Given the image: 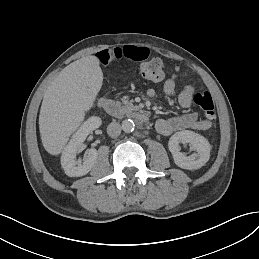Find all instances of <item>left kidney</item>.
I'll return each mask as SVG.
<instances>
[{"mask_svg": "<svg viewBox=\"0 0 259 259\" xmlns=\"http://www.w3.org/2000/svg\"><path fill=\"white\" fill-rule=\"evenodd\" d=\"M191 143L197 154L186 157L180 153L179 143ZM169 150L173 154L175 164L181 169L198 170L210 159L211 146L209 141L202 135L193 131L183 130L176 132L169 139Z\"/></svg>", "mask_w": 259, "mask_h": 259, "instance_id": "obj_1", "label": "left kidney"}]
</instances>
